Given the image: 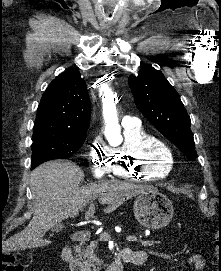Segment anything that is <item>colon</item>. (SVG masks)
Returning a JSON list of instances; mask_svg holds the SVG:
<instances>
[{
  "mask_svg": "<svg viewBox=\"0 0 221 271\" xmlns=\"http://www.w3.org/2000/svg\"><path fill=\"white\" fill-rule=\"evenodd\" d=\"M0 271H26V266L18 262L13 254H5L0 261Z\"/></svg>",
  "mask_w": 221,
  "mask_h": 271,
  "instance_id": "colon-1",
  "label": "colon"
}]
</instances>
